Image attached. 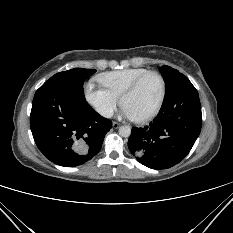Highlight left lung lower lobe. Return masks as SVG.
Here are the masks:
<instances>
[{
    "label": "left lung lower lobe",
    "instance_id": "0a47b994",
    "mask_svg": "<svg viewBox=\"0 0 233 233\" xmlns=\"http://www.w3.org/2000/svg\"><path fill=\"white\" fill-rule=\"evenodd\" d=\"M202 125L199 95L181 74L165 94L156 118L143 128L133 127L130 152L143 165L167 169L183 160L198 138Z\"/></svg>",
    "mask_w": 233,
    "mask_h": 233
}]
</instances>
